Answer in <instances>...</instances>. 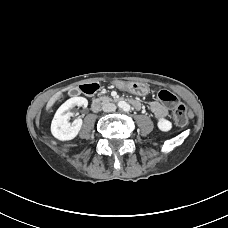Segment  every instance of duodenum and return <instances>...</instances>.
<instances>
[{
	"mask_svg": "<svg viewBox=\"0 0 228 228\" xmlns=\"http://www.w3.org/2000/svg\"><path fill=\"white\" fill-rule=\"evenodd\" d=\"M81 88H82V91L88 96H93L98 90V86L96 84L83 85ZM113 100L116 101L117 99H113ZM104 101H112V99L101 100L99 98H94L92 101V108L94 110L99 109L102 102H104Z\"/></svg>",
	"mask_w": 228,
	"mask_h": 228,
	"instance_id": "duodenum-1",
	"label": "duodenum"
}]
</instances>
